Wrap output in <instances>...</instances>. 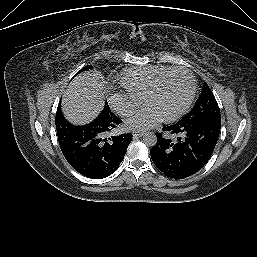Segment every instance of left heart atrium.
<instances>
[{"label": "left heart atrium", "mask_w": 257, "mask_h": 257, "mask_svg": "<svg viewBox=\"0 0 257 257\" xmlns=\"http://www.w3.org/2000/svg\"><path fill=\"white\" fill-rule=\"evenodd\" d=\"M162 115L152 107H146L135 113L126 122V127L134 130H145L157 125Z\"/></svg>", "instance_id": "1"}]
</instances>
